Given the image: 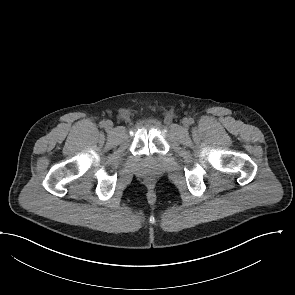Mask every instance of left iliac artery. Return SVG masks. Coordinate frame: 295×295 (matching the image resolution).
Listing matches in <instances>:
<instances>
[{"mask_svg": "<svg viewBox=\"0 0 295 295\" xmlns=\"http://www.w3.org/2000/svg\"><path fill=\"white\" fill-rule=\"evenodd\" d=\"M189 123H190V124H193V123H194L193 118H189Z\"/></svg>", "mask_w": 295, "mask_h": 295, "instance_id": "obj_1", "label": "left iliac artery"}]
</instances>
